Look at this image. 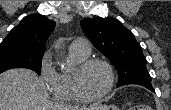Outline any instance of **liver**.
Returning a JSON list of instances; mask_svg holds the SVG:
<instances>
[{"label": "liver", "mask_w": 171, "mask_h": 110, "mask_svg": "<svg viewBox=\"0 0 171 110\" xmlns=\"http://www.w3.org/2000/svg\"><path fill=\"white\" fill-rule=\"evenodd\" d=\"M0 110H89L53 104L47 100L45 86L29 69H12L0 74Z\"/></svg>", "instance_id": "6515ba94"}]
</instances>
